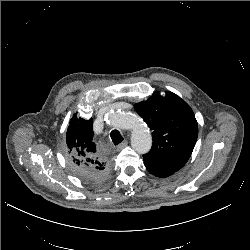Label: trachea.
<instances>
[{
    "instance_id": "trachea-1",
    "label": "trachea",
    "mask_w": 250,
    "mask_h": 250,
    "mask_svg": "<svg viewBox=\"0 0 250 250\" xmlns=\"http://www.w3.org/2000/svg\"><path fill=\"white\" fill-rule=\"evenodd\" d=\"M110 137H111L114 145H118V144H120L123 141L122 135L117 130L111 131Z\"/></svg>"
}]
</instances>
